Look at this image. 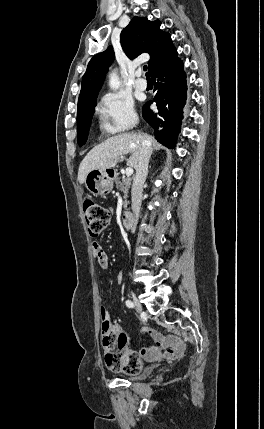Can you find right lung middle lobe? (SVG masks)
Here are the masks:
<instances>
[{"instance_id":"dd1d6c3e","label":"right lung middle lobe","mask_w":264,"mask_h":429,"mask_svg":"<svg viewBox=\"0 0 264 429\" xmlns=\"http://www.w3.org/2000/svg\"><path fill=\"white\" fill-rule=\"evenodd\" d=\"M96 100L78 106L77 111V139L79 146L86 143L91 119L95 110Z\"/></svg>"}]
</instances>
